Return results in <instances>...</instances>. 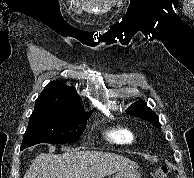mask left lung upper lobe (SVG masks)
I'll list each match as a JSON object with an SVG mask.
<instances>
[{
    "mask_svg": "<svg viewBox=\"0 0 194 178\" xmlns=\"http://www.w3.org/2000/svg\"><path fill=\"white\" fill-rule=\"evenodd\" d=\"M126 112L129 115L140 117L147 120L155 127H160L159 117L149 107L146 106V102L143 100L133 103Z\"/></svg>",
    "mask_w": 194,
    "mask_h": 178,
    "instance_id": "left-lung-upper-lobe-1",
    "label": "left lung upper lobe"
}]
</instances>
